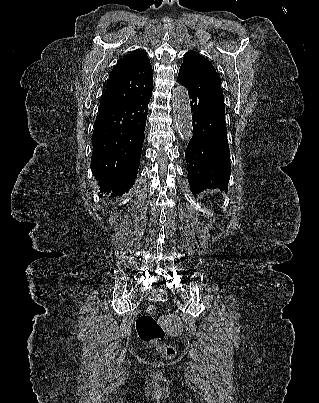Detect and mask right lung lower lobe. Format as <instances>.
Returning <instances> with one entry per match:
<instances>
[{"mask_svg":"<svg viewBox=\"0 0 319 403\" xmlns=\"http://www.w3.org/2000/svg\"><path fill=\"white\" fill-rule=\"evenodd\" d=\"M151 95L99 111L92 134L91 169L101 192L112 191L114 196L122 195L133 186L141 158Z\"/></svg>","mask_w":319,"mask_h":403,"instance_id":"obj_1","label":"right lung lower lobe"}]
</instances>
